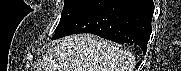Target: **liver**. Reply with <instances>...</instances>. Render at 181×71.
Returning a JSON list of instances; mask_svg holds the SVG:
<instances>
[{
  "mask_svg": "<svg viewBox=\"0 0 181 71\" xmlns=\"http://www.w3.org/2000/svg\"><path fill=\"white\" fill-rule=\"evenodd\" d=\"M132 54L91 34L54 42L37 71H133Z\"/></svg>",
  "mask_w": 181,
  "mask_h": 71,
  "instance_id": "6515ba94",
  "label": "liver"
}]
</instances>
